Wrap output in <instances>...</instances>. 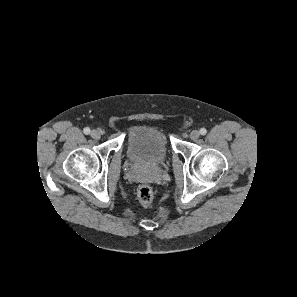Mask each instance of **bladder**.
I'll return each mask as SVG.
<instances>
[{
  "instance_id": "31cf9c89",
  "label": "bladder",
  "mask_w": 297,
  "mask_h": 297,
  "mask_svg": "<svg viewBox=\"0 0 297 297\" xmlns=\"http://www.w3.org/2000/svg\"><path fill=\"white\" fill-rule=\"evenodd\" d=\"M125 152L136 166L155 168L168 157L167 142L162 131L152 125L131 126L126 133Z\"/></svg>"
}]
</instances>
